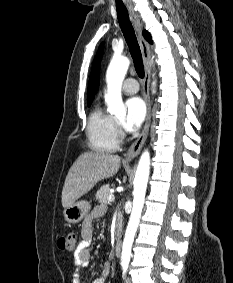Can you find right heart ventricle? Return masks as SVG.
Wrapping results in <instances>:
<instances>
[{"label": "right heart ventricle", "instance_id": "obj_1", "mask_svg": "<svg viewBox=\"0 0 233 283\" xmlns=\"http://www.w3.org/2000/svg\"><path fill=\"white\" fill-rule=\"evenodd\" d=\"M86 133L90 148L96 152H114L118 147L116 120L100 106H96L91 112Z\"/></svg>", "mask_w": 233, "mask_h": 283}]
</instances>
